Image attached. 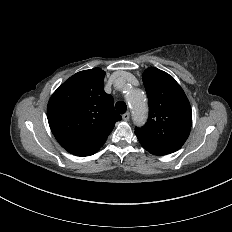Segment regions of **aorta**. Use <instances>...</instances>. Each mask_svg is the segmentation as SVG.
I'll return each instance as SVG.
<instances>
[{"label":"aorta","instance_id":"aorta-1","mask_svg":"<svg viewBox=\"0 0 232 232\" xmlns=\"http://www.w3.org/2000/svg\"><path fill=\"white\" fill-rule=\"evenodd\" d=\"M126 100L132 107L133 121L137 125L143 124L147 117V104L144 93L136 89L131 90L126 94Z\"/></svg>","mask_w":232,"mask_h":232}]
</instances>
